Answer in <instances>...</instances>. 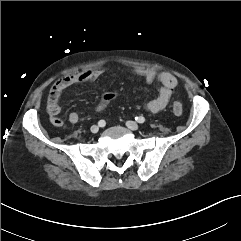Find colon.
<instances>
[{
    "label": "colon",
    "instance_id": "colon-1",
    "mask_svg": "<svg viewBox=\"0 0 241 241\" xmlns=\"http://www.w3.org/2000/svg\"><path fill=\"white\" fill-rule=\"evenodd\" d=\"M101 99L104 101V102H107L108 100H113L114 102H117L119 99H120V96L117 94V93H107V92H104L102 95H101ZM172 111L175 115H181L182 112H183V105L181 102L179 101H175L172 105Z\"/></svg>",
    "mask_w": 241,
    "mask_h": 241
}]
</instances>
